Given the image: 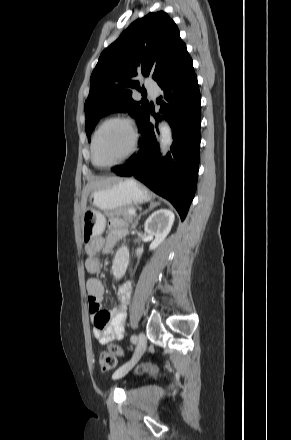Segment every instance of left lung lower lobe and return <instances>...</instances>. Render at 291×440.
Wrapping results in <instances>:
<instances>
[{
  "label": "left lung lower lobe",
  "instance_id": "0a47b994",
  "mask_svg": "<svg viewBox=\"0 0 291 440\" xmlns=\"http://www.w3.org/2000/svg\"><path fill=\"white\" fill-rule=\"evenodd\" d=\"M158 84L169 103L162 102V97L158 100L162 103L160 113H164L174 131L171 153L160 158L149 109L139 128L143 135L139 140L140 150L127 164L115 166L112 171L118 176H134L169 200L183 221L195 194L200 158L201 97L188 52ZM156 119L161 117L158 115Z\"/></svg>",
  "mask_w": 291,
  "mask_h": 440
}]
</instances>
